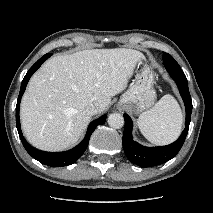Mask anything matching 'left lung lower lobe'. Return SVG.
Instances as JSON below:
<instances>
[{
	"label": "left lung lower lobe",
	"instance_id": "1",
	"mask_svg": "<svg viewBox=\"0 0 213 213\" xmlns=\"http://www.w3.org/2000/svg\"><path fill=\"white\" fill-rule=\"evenodd\" d=\"M180 95L184 101L186 109L185 129L180 137L172 144L160 147H144L133 140L131 118L124 114L125 128L123 134V148L128 159L140 167H151L167 162L180 151L188 133L192 112V100L188 89V84L176 82Z\"/></svg>",
	"mask_w": 213,
	"mask_h": 213
}]
</instances>
